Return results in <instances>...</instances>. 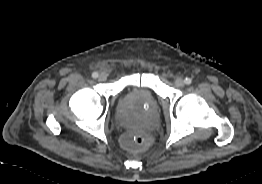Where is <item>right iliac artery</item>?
I'll return each instance as SVG.
<instances>
[{
    "label": "right iliac artery",
    "mask_w": 262,
    "mask_h": 184,
    "mask_svg": "<svg viewBox=\"0 0 262 184\" xmlns=\"http://www.w3.org/2000/svg\"><path fill=\"white\" fill-rule=\"evenodd\" d=\"M92 77H93V78H97V77H98V73H97V72H93V73H92Z\"/></svg>",
    "instance_id": "82829eb1"
}]
</instances>
